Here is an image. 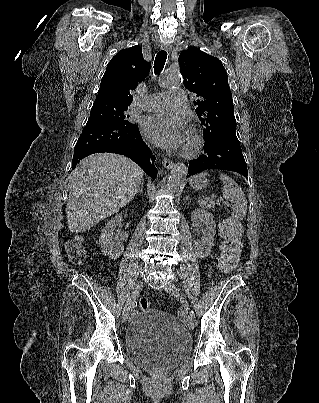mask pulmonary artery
Here are the masks:
<instances>
[{
    "label": "pulmonary artery",
    "instance_id": "e3ab8cb5",
    "mask_svg": "<svg viewBox=\"0 0 319 403\" xmlns=\"http://www.w3.org/2000/svg\"><path fill=\"white\" fill-rule=\"evenodd\" d=\"M187 103L186 95L182 89H173L167 92L153 94L143 103L146 110H163L166 108L185 107Z\"/></svg>",
    "mask_w": 319,
    "mask_h": 403
}]
</instances>
